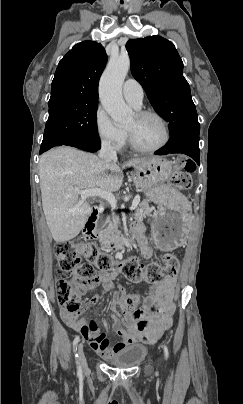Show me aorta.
Segmentation results:
<instances>
[{"mask_svg": "<svg viewBox=\"0 0 243 404\" xmlns=\"http://www.w3.org/2000/svg\"><path fill=\"white\" fill-rule=\"evenodd\" d=\"M130 68L128 54L111 56L99 84L100 102L114 120L116 126H123L134 116L132 108L126 106L122 96V84Z\"/></svg>", "mask_w": 243, "mask_h": 404, "instance_id": "762f6f07", "label": "aorta"}]
</instances>
